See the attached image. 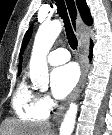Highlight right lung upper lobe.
<instances>
[{"label":"right lung upper lobe","instance_id":"right-lung-upper-lobe-1","mask_svg":"<svg viewBox=\"0 0 112 135\" xmlns=\"http://www.w3.org/2000/svg\"><path fill=\"white\" fill-rule=\"evenodd\" d=\"M76 3H77V7H78V10L81 14V17L83 19V21L87 24V25H91L93 20H92V17L90 15V11H89V8L86 4V1L85 0H76ZM21 72V63L19 64V72Z\"/></svg>","mask_w":112,"mask_h":135}]
</instances>
